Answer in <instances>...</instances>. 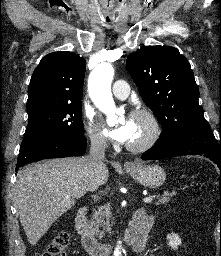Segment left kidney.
<instances>
[{
    "mask_svg": "<svg viewBox=\"0 0 221 256\" xmlns=\"http://www.w3.org/2000/svg\"><path fill=\"white\" fill-rule=\"evenodd\" d=\"M168 240V246L171 247V249H178V246L181 244V239L179 235L172 233L167 235Z\"/></svg>",
    "mask_w": 221,
    "mask_h": 256,
    "instance_id": "5707ae66",
    "label": "left kidney"
}]
</instances>
